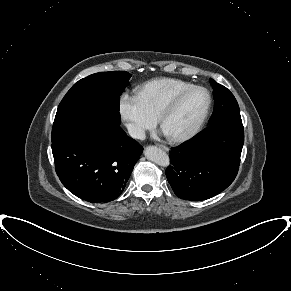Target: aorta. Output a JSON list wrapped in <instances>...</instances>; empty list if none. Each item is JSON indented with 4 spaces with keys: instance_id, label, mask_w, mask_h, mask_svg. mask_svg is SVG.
I'll return each instance as SVG.
<instances>
[{
    "instance_id": "obj_1",
    "label": "aorta",
    "mask_w": 291,
    "mask_h": 291,
    "mask_svg": "<svg viewBox=\"0 0 291 291\" xmlns=\"http://www.w3.org/2000/svg\"><path fill=\"white\" fill-rule=\"evenodd\" d=\"M144 154L148 160L159 166L167 167L170 164L167 153L156 146L147 147Z\"/></svg>"
}]
</instances>
